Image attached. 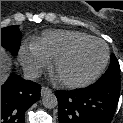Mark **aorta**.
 Instances as JSON below:
<instances>
[{
	"mask_svg": "<svg viewBox=\"0 0 123 123\" xmlns=\"http://www.w3.org/2000/svg\"><path fill=\"white\" fill-rule=\"evenodd\" d=\"M42 103L45 108H55L58 105L57 97L52 92H46L43 94Z\"/></svg>",
	"mask_w": 123,
	"mask_h": 123,
	"instance_id": "1",
	"label": "aorta"
}]
</instances>
